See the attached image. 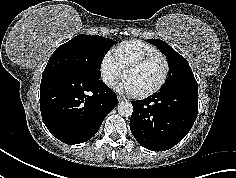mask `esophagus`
Returning a JSON list of instances; mask_svg holds the SVG:
<instances>
[{
	"label": "esophagus",
	"instance_id": "obj_1",
	"mask_svg": "<svg viewBox=\"0 0 236 178\" xmlns=\"http://www.w3.org/2000/svg\"><path fill=\"white\" fill-rule=\"evenodd\" d=\"M117 99H118L119 102L126 100V99H125L124 97H122L121 95H118Z\"/></svg>",
	"mask_w": 236,
	"mask_h": 178
}]
</instances>
